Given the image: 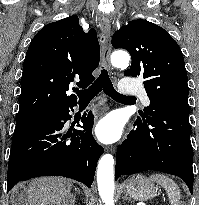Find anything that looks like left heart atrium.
I'll list each match as a JSON object with an SVG mask.
<instances>
[{"instance_id":"39dd6f15","label":"left heart atrium","mask_w":199,"mask_h":205,"mask_svg":"<svg viewBox=\"0 0 199 205\" xmlns=\"http://www.w3.org/2000/svg\"><path fill=\"white\" fill-rule=\"evenodd\" d=\"M123 131L122 119L117 114H108L102 118L95 127V135L103 143L117 141Z\"/></svg>"}]
</instances>
